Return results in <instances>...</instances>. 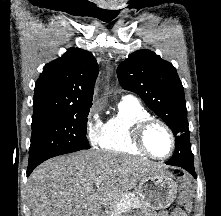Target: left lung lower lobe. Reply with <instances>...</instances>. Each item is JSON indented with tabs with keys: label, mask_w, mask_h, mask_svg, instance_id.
Returning <instances> with one entry per match:
<instances>
[{
	"label": "left lung lower lobe",
	"mask_w": 221,
	"mask_h": 216,
	"mask_svg": "<svg viewBox=\"0 0 221 216\" xmlns=\"http://www.w3.org/2000/svg\"><path fill=\"white\" fill-rule=\"evenodd\" d=\"M166 164L182 167L195 176L194 157L189 149L176 146L173 156L166 162Z\"/></svg>",
	"instance_id": "0a47b994"
}]
</instances>
